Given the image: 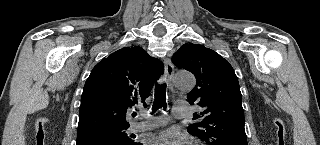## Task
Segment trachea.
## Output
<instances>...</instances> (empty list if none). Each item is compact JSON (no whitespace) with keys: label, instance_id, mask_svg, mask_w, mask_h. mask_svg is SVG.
Instances as JSON below:
<instances>
[{"label":"trachea","instance_id":"1","mask_svg":"<svg viewBox=\"0 0 320 145\" xmlns=\"http://www.w3.org/2000/svg\"><path fill=\"white\" fill-rule=\"evenodd\" d=\"M166 84H159L156 82L155 84V99L153 102V112L158 110L159 108H166ZM136 116V113L133 114Z\"/></svg>","mask_w":320,"mask_h":145}]
</instances>
